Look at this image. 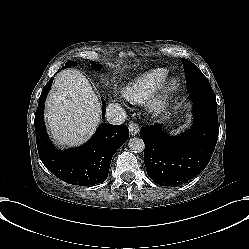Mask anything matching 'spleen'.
Segmentation results:
<instances>
[{
    "label": "spleen",
    "mask_w": 249,
    "mask_h": 249,
    "mask_svg": "<svg viewBox=\"0 0 249 249\" xmlns=\"http://www.w3.org/2000/svg\"><path fill=\"white\" fill-rule=\"evenodd\" d=\"M189 125H190L189 123H186V124L180 126L179 128H177V129H175V130H172V131L169 133L170 136H178V135H180V133L184 132V130H185L186 128H188Z\"/></svg>",
    "instance_id": "spleen-1"
}]
</instances>
